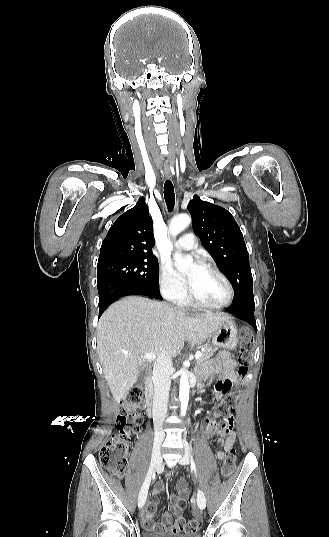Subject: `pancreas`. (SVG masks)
I'll return each mask as SVG.
<instances>
[{
    "mask_svg": "<svg viewBox=\"0 0 329 537\" xmlns=\"http://www.w3.org/2000/svg\"><path fill=\"white\" fill-rule=\"evenodd\" d=\"M216 351V348L213 347H206L202 350V356L199 359V363H205L210 357H212L213 353Z\"/></svg>",
    "mask_w": 329,
    "mask_h": 537,
    "instance_id": "1",
    "label": "pancreas"
}]
</instances>
